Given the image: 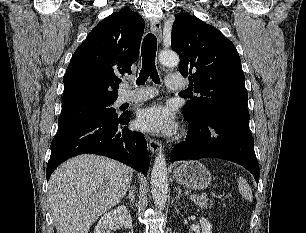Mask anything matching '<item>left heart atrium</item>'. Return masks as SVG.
Instances as JSON below:
<instances>
[{
  "instance_id": "39dd6f15",
  "label": "left heart atrium",
  "mask_w": 306,
  "mask_h": 233,
  "mask_svg": "<svg viewBox=\"0 0 306 233\" xmlns=\"http://www.w3.org/2000/svg\"><path fill=\"white\" fill-rule=\"evenodd\" d=\"M136 124L140 130L152 133L169 134L176 128L173 110L164 104H154L143 109Z\"/></svg>"
}]
</instances>
